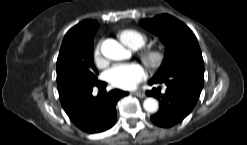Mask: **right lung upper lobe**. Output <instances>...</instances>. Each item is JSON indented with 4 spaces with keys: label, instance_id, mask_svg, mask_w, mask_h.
I'll use <instances>...</instances> for the list:
<instances>
[{
    "label": "right lung upper lobe",
    "instance_id": "1",
    "mask_svg": "<svg viewBox=\"0 0 247 145\" xmlns=\"http://www.w3.org/2000/svg\"><path fill=\"white\" fill-rule=\"evenodd\" d=\"M99 27V24L95 20H84L71 28L65 35L64 39L77 38L83 41H89L93 43L94 35Z\"/></svg>",
    "mask_w": 247,
    "mask_h": 145
}]
</instances>
